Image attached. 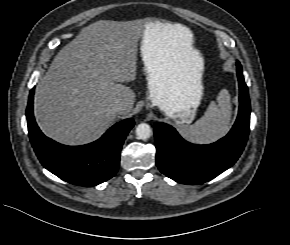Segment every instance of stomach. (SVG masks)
Instances as JSON below:
<instances>
[{
    "label": "stomach",
    "instance_id": "obj_1",
    "mask_svg": "<svg viewBox=\"0 0 290 245\" xmlns=\"http://www.w3.org/2000/svg\"><path fill=\"white\" fill-rule=\"evenodd\" d=\"M157 24L147 28L140 52L147 80V108L157 106L179 127L190 124L203 96V58L195 72L182 71L167 45H159Z\"/></svg>",
    "mask_w": 290,
    "mask_h": 245
}]
</instances>
